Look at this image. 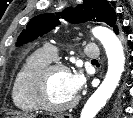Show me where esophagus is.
Segmentation results:
<instances>
[{
  "label": "esophagus",
  "mask_w": 133,
  "mask_h": 118,
  "mask_svg": "<svg viewBox=\"0 0 133 118\" xmlns=\"http://www.w3.org/2000/svg\"><path fill=\"white\" fill-rule=\"evenodd\" d=\"M62 118H72V116L70 114H64Z\"/></svg>",
  "instance_id": "esophagus-1"
}]
</instances>
